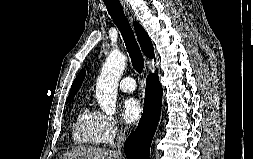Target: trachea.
Masks as SVG:
<instances>
[{
  "label": "trachea",
  "mask_w": 253,
  "mask_h": 159,
  "mask_svg": "<svg viewBox=\"0 0 253 159\" xmlns=\"http://www.w3.org/2000/svg\"><path fill=\"white\" fill-rule=\"evenodd\" d=\"M104 3L114 23L122 34L133 68L136 72L141 74L144 68V58L134 36L133 30L123 12L120 1L104 0Z\"/></svg>",
  "instance_id": "obj_1"
}]
</instances>
